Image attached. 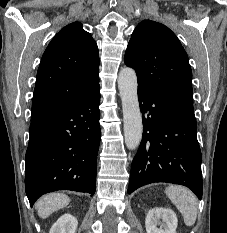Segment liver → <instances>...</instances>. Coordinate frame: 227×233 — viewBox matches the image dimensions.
Returning <instances> with one entry per match:
<instances>
[{
  "label": "liver",
  "mask_w": 227,
  "mask_h": 233,
  "mask_svg": "<svg viewBox=\"0 0 227 233\" xmlns=\"http://www.w3.org/2000/svg\"><path fill=\"white\" fill-rule=\"evenodd\" d=\"M70 202L68 196L61 193H53L42 197L36 203V210L41 218H47L53 212L64 208Z\"/></svg>",
  "instance_id": "1"
}]
</instances>
